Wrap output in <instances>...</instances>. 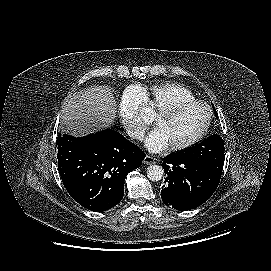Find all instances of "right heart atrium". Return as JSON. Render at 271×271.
I'll return each instance as SVG.
<instances>
[{
    "label": "right heart atrium",
    "mask_w": 271,
    "mask_h": 271,
    "mask_svg": "<svg viewBox=\"0 0 271 271\" xmlns=\"http://www.w3.org/2000/svg\"><path fill=\"white\" fill-rule=\"evenodd\" d=\"M145 103L143 92L136 86L128 87L122 96L119 113L127 134L135 140H142L147 129L140 110Z\"/></svg>",
    "instance_id": "right-heart-atrium-1"
}]
</instances>
